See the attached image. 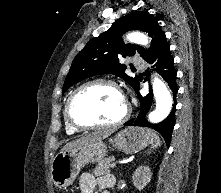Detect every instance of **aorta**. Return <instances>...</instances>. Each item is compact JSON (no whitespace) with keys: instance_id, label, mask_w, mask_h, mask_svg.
Here are the masks:
<instances>
[{"instance_id":"aorta-1","label":"aorta","mask_w":221,"mask_h":193,"mask_svg":"<svg viewBox=\"0 0 221 193\" xmlns=\"http://www.w3.org/2000/svg\"><path fill=\"white\" fill-rule=\"evenodd\" d=\"M127 39L140 45L148 44V38L138 32L129 34ZM153 93L156 99V109L149 114V121L158 123L169 115L172 108V97L166 85L158 78L153 81Z\"/></svg>"}]
</instances>
